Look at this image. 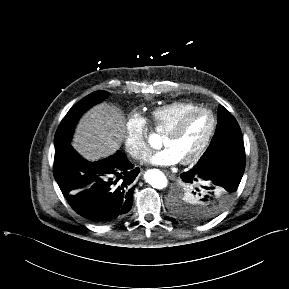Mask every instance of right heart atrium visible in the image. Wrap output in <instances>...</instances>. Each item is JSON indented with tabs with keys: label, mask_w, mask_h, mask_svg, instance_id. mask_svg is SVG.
<instances>
[{
	"label": "right heart atrium",
	"mask_w": 289,
	"mask_h": 289,
	"mask_svg": "<svg viewBox=\"0 0 289 289\" xmlns=\"http://www.w3.org/2000/svg\"><path fill=\"white\" fill-rule=\"evenodd\" d=\"M147 119L138 112H132L125 121L124 145L134 159H144L150 153L147 141Z\"/></svg>",
	"instance_id": "right-heart-atrium-1"
}]
</instances>
